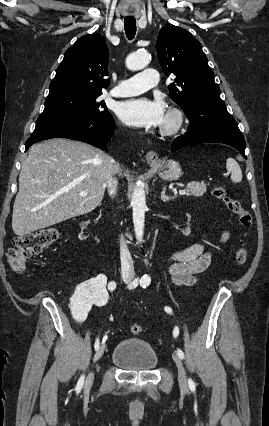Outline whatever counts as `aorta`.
<instances>
[{"mask_svg":"<svg viewBox=\"0 0 269 426\" xmlns=\"http://www.w3.org/2000/svg\"><path fill=\"white\" fill-rule=\"evenodd\" d=\"M150 61L148 52L141 51L130 54L126 59L128 69L136 71L145 68ZM131 206L133 210V223L136 240L142 242L146 211V195L144 188L137 187L132 194Z\"/></svg>","mask_w":269,"mask_h":426,"instance_id":"762f6f07","label":"aorta"}]
</instances>
